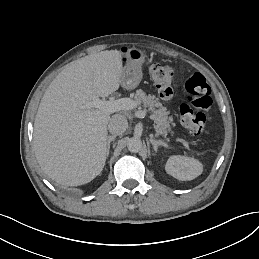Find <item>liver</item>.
<instances>
[{"label":"liver","instance_id":"liver-1","mask_svg":"<svg viewBox=\"0 0 259 259\" xmlns=\"http://www.w3.org/2000/svg\"><path fill=\"white\" fill-rule=\"evenodd\" d=\"M123 57L101 51L69 63L50 83L39 105L33 151L41 169L66 185L92 181L107 159L109 113L80 110L93 95L108 97L120 88Z\"/></svg>","mask_w":259,"mask_h":259}]
</instances>
